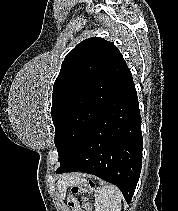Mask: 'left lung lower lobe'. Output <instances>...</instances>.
Wrapping results in <instances>:
<instances>
[{
    "label": "left lung lower lobe",
    "instance_id": "obj_1",
    "mask_svg": "<svg viewBox=\"0 0 178 211\" xmlns=\"http://www.w3.org/2000/svg\"><path fill=\"white\" fill-rule=\"evenodd\" d=\"M141 116L129 69L101 116L56 173L81 171L115 184L130 203L142 166Z\"/></svg>",
    "mask_w": 178,
    "mask_h": 211
}]
</instances>
